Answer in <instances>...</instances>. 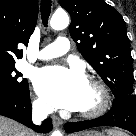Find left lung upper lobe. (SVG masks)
Segmentation results:
<instances>
[{"instance_id":"left-lung-upper-lobe-1","label":"left lung upper lobe","mask_w":136,"mask_h":136,"mask_svg":"<svg viewBox=\"0 0 136 136\" xmlns=\"http://www.w3.org/2000/svg\"><path fill=\"white\" fill-rule=\"evenodd\" d=\"M69 32L84 59L115 97L134 94L130 40L121 14L103 0H60Z\"/></svg>"}]
</instances>
